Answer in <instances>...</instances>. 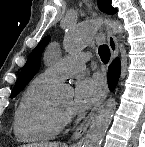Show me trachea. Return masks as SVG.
<instances>
[{
    "mask_svg": "<svg viewBox=\"0 0 145 147\" xmlns=\"http://www.w3.org/2000/svg\"><path fill=\"white\" fill-rule=\"evenodd\" d=\"M99 56L103 63H108L110 59V49L107 45L103 44L98 49Z\"/></svg>",
    "mask_w": 145,
    "mask_h": 147,
    "instance_id": "trachea-1",
    "label": "trachea"
}]
</instances>
